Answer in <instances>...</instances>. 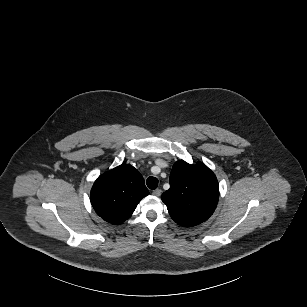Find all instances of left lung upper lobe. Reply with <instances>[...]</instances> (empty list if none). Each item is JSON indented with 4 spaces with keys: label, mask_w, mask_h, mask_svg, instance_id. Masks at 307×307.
I'll use <instances>...</instances> for the list:
<instances>
[{
    "label": "left lung upper lobe",
    "mask_w": 307,
    "mask_h": 307,
    "mask_svg": "<svg viewBox=\"0 0 307 307\" xmlns=\"http://www.w3.org/2000/svg\"><path fill=\"white\" fill-rule=\"evenodd\" d=\"M172 219L181 226H194L207 220L219 199L214 173L203 163L190 165L177 161L170 174V189L161 196Z\"/></svg>",
    "instance_id": "left-lung-upper-lobe-1"
}]
</instances>
